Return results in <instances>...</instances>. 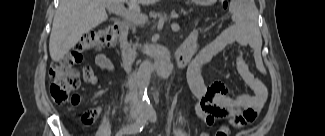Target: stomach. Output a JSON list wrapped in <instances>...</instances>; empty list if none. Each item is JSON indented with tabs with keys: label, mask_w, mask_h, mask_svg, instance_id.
<instances>
[{
	"label": "stomach",
	"mask_w": 325,
	"mask_h": 136,
	"mask_svg": "<svg viewBox=\"0 0 325 136\" xmlns=\"http://www.w3.org/2000/svg\"><path fill=\"white\" fill-rule=\"evenodd\" d=\"M195 2L205 3V2H213V1H195Z\"/></svg>",
	"instance_id": "obj_1"
}]
</instances>
